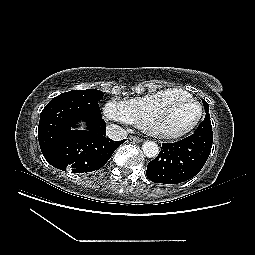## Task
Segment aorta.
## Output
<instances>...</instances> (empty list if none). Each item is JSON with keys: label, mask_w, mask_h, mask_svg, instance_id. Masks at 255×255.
Wrapping results in <instances>:
<instances>
[{"label": "aorta", "mask_w": 255, "mask_h": 255, "mask_svg": "<svg viewBox=\"0 0 255 255\" xmlns=\"http://www.w3.org/2000/svg\"><path fill=\"white\" fill-rule=\"evenodd\" d=\"M143 153L148 158H155L159 154V147L154 141H146L142 145Z\"/></svg>", "instance_id": "762f6f07"}]
</instances>
